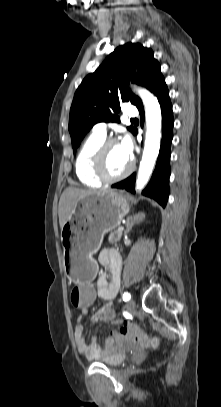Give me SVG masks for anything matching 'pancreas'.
Listing matches in <instances>:
<instances>
[{"label":"pancreas","mask_w":221,"mask_h":407,"mask_svg":"<svg viewBox=\"0 0 221 407\" xmlns=\"http://www.w3.org/2000/svg\"><path fill=\"white\" fill-rule=\"evenodd\" d=\"M121 237H122V231L117 230V231H114V232L110 233L108 241L111 244H113V243H116V242L120 241Z\"/></svg>","instance_id":"cf45deb5"}]
</instances>
